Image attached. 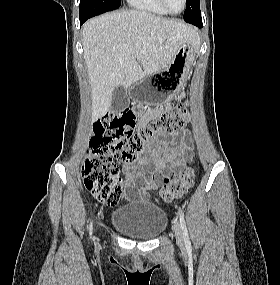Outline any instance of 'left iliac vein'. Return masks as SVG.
<instances>
[{"instance_id":"left-iliac-vein-1","label":"left iliac vein","mask_w":280,"mask_h":285,"mask_svg":"<svg viewBox=\"0 0 280 285\" xmlns=\"http://www.w3.org/2000/svg\"><path fill=\"white\" fill-rule=\"evenodd\" d=\"M173 230L176 236V241L179 245H183L184 242V236H183V231L182 227L178 222H175L173 225Z\"/></svg>"}]
</instances>
